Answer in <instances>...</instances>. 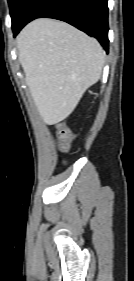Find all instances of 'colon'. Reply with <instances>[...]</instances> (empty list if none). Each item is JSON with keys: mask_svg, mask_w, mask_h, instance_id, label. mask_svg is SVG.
<instances>
[{"mask_svg": "<svg viewBox=\"0 0 134 281\" xmlns=\"http://www.w3.org/2000/svg\"><path fill=\"white\" fill-rule=\"evenodd\" d=\"M57 135L59 138V144L62 151H65L70 146L72 141V133L68 127L63 124L57 125Z\"/></svg>", "mask_w": 134, "mask_h": 281, "instance_id": "obj_1", "label": "colon"}]
</instances>
